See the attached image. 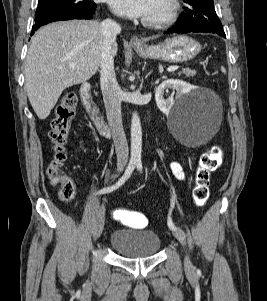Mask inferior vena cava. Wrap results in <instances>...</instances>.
<instances>
[{"label":"inferior vena cava","mask_w":267,"mask_h":301,"mask_svg":"<svg viewBox=\"0 0 267 301\" xmlns=\"http://www.w3.org/2000/svg\"><path fill=\"white\" fill-rule=\"evenodd\" d=\"M103 45L100 63V85L106 108L107 120L115 145L117 162L126 164L129 157L127 139L122 125L121 92L114 70V59L111 53L112 44L121 32L118 23L106 19L101 23Z\"/></svg>","instance_id":"602c4592"}]
</instances>
